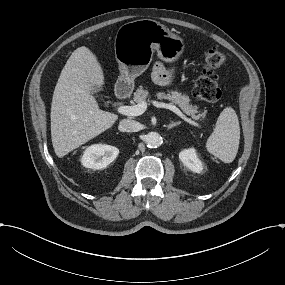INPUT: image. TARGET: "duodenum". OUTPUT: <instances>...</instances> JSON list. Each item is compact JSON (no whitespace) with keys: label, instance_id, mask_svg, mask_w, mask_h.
<instances>
[{"label":"duodenum","instance_id":"duodenum-1","mask_svg":"<svg viewBox=\"0 0 285 285\" xmlns=\"http://www.w3.org/2000/svg\"><path fill=\"white\" fill-rule=\"evenodd\" d=\"M116 88V97L118 100H124L125 98H128L131 96L134 85L132 82L126 80V79H119L115 83Z\"/></svg>","mask_w":285,"mask_h":285}]
</instances>
